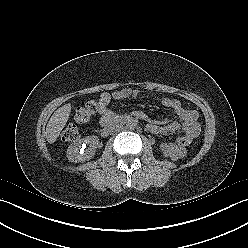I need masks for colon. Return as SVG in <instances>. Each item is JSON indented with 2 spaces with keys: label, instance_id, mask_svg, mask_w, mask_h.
Here are the masks:
<instances>
[{
  "label": "colon",
  "instance_id": "colon-1",
  "mask_svg": "<svg viewBox=\"0 0 248 248\" xmlns=\"http://www.w3.org/2000/svg\"><path fill=\"white\" fill-rule=\"evenodd\" d=\"M99 109V101L91 100L83 106H79L75 109V120L77 122L88 121ZM61 137L64 141L73 142L79 137L78 127L70 123L63 130ZM193 140L187 136H181L177 138L176 143L180 146H188Z\"/></svg>",
  "mask_w": 248,
  "mask_h": 248
}]
</instances>
